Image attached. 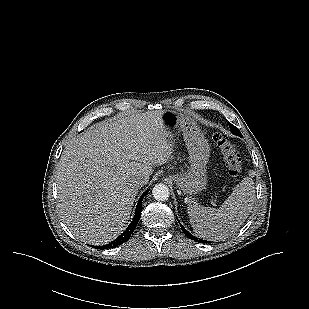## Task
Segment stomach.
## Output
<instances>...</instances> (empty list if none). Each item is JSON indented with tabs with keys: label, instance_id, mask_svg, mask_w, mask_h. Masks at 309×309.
<instances>
[{
	"label": "stomach",
	"instance_id": "0dacf381",
	"mask_svg": "<svg viewBox=\"0 0 309 309\" xmlns=\"http://www.w3.org/2000/svg\"><path fill=\"white\" fill-rule=\"evenodd\" d=\"M160 119L168 131L178 129L182 132L189 153L190 167L186 172L172 175V178L183 193L195 195L207 184L209 144L198 125L189 116L173 110H164Z\"/></svg>",
	"mask_w": 309,
	"mask_h": 309
}]
</instances>
